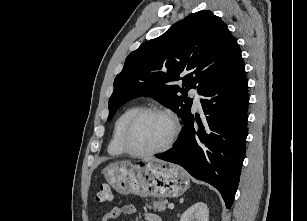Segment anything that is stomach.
Returning <instances> with one entry per match:
<instances>
[{
	"label": "stomach",
	"instance_id": "obj_1",
	"mask_svg": "<svg viewBox=\"0 0 307 221\" xmlns=\"http://www.w3.org/2000/svg\"><path fill=\"white\" fill-rule=\"evenodd\" d=\"M103 174L120 194L141 197H178L190 185L189 177L180 166L156 159L114 162Z\"/></svg>",
	"mask_w": 307,
	"mask_h": 221
}]
</instances>
